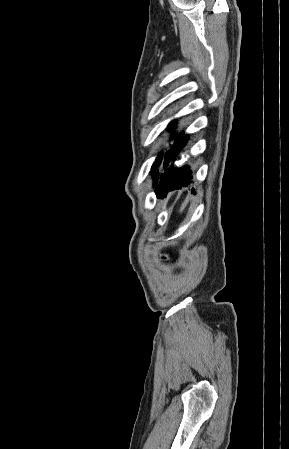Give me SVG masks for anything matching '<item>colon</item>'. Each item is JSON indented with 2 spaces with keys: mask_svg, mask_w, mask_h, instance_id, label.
I'll return each mask as SVG.
<instances>
[{
  "mask_svg": "<svg viewBox=\"0 0 289 449\" xmlns=\"http://www.w3.org/2000/svg\"><path fill=\"white\" fill-rule=\"evenodd\" d=\"M163 258H164V260H167V259H168V257H167L166 255H164Z\"/></svg>",
  "mask_w": 289,
  "mask_h": 449,
  "instance_id": "obj_1",
  "label": "colon"
}]
</instances>
